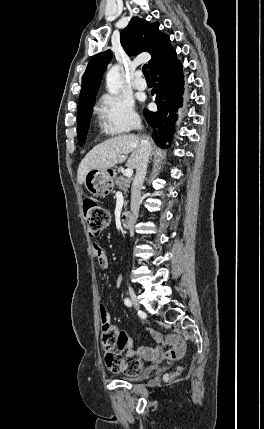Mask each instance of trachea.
I'll return each mask as SVG.
<instances>
[{"mask_svg": "<svg viewBox=\"0 0 264 429\" xmlns=\"http://www.w3.org/2000/svg\"><path fill=\"white\" fill-rule=\"evenodd\" d=\"M142 70H143L145 78H150L149 73L147 71V64L143 65Z\"/></svg>", "mask_w": 264, "mask_h": 429, "instance_id": "3493384b", "label": "trachea"}]
</instances>
